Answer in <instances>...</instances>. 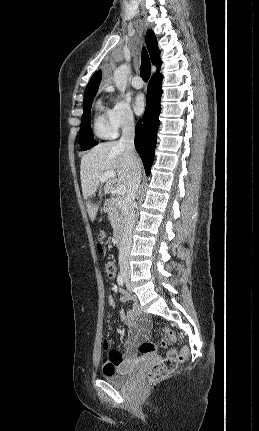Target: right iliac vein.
<instances>
[{
  "instance_id": "obj_1",
  "label": "right iliac vein",
  "mask_w": 259,
  "mask_h": 431,
  "mask_svg": "<svg viewBox=\"0 0 259 431\" xmlns=\"http://www.w3.org/2000/svg\"><path fill=\"white\" fill-rule=\"evenodd\" d=\"M123 275H124L125 278L128 277V273L127 272H124Z\"/></svg>"
}]
</instances>
